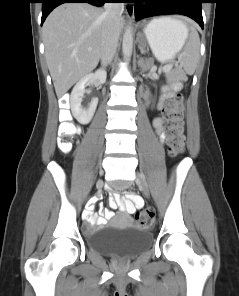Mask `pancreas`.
Wrapping results in <instances>:
<instances>
[{
	"instance_id": "1",
	"label": "pancreas",
	"mask_w": 239,
	"mask_h": 296,
	"mask_svg": "<svg viewBox=\"0 0 239 296\" xmlns=\"http://www.w3.org/2000/svg\"><path fill=\"white\" fill-rule=\"evenodd\" d=\"M166 74L168 77H170V69L169 70H165Z\"/></svg>"
}]
</instances>
